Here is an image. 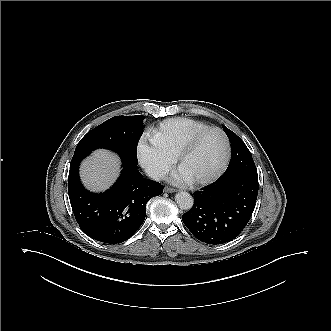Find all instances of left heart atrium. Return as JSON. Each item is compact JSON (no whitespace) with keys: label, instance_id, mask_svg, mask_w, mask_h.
Listing matches in <instances>:
<instances>
[{"label":"left heart atrium","instance_id":"1","mask_svg":"<svg viewBox=\"0 0 331 331\" xmlns=\"http://www.w3.org/2000/svg\"><path fill=\"white\" fill-rule=\"evenodd\" d=\"M171 180L179 184H189L192 182V179L182 170L173 173Z\"/></svg>","mask_w":331,"mask_h":331}]
</instances>
